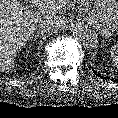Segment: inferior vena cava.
<instances>
[{"label": "inferior vena cava", "mask_w": 118, "mask_h": 118, "mask_svg": "<svg viewBox=\"0 0 118 118\" xmlns=\"http://www.w3.org/2000/svg\"><path fill=\"white\" fill-rule=\"evenodd\" d=\"M57 25H59L56 20L50 17H43L38 20L37 27L39 28V32L42 34L54 29Z\"/></svg>", "instance_id": "1"}]
</instances>
